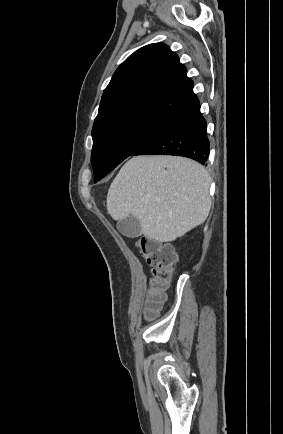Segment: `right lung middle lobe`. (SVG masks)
Returning a JSON list of instances; mask_svg holds the SVG:
<instances>
[{"label": "right lung middle lobe", "instance_id": "dd1d6c3e", "mask_svg": "<svg viewBox=\"0 0 283 434\" xmlns=\"http://www.w3.org/2000/svg\"><path fill=\"white\" fill-rule=\"evenodd\" d=\"M171 120L150 113H129L93 126L91 161L99 181Z\"/></svg>", "mask_w": 283, "mask_h": 434}]
</instances>
